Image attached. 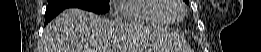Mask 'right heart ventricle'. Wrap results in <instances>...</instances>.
<instances>
[{
    "label": "right heart ventricle",
    "mask_w": 261,
    "mask_h": 52,
    "mask_svg": "<svg viewBox=\"0 0 261 52\" xmlns=\"http://www.w3.org/2000/svg\"><path fill=\"white\" fill-rule=\"evenodd\" d=\"M165 0H128L119 8L122 21L139 24H170L164 16Z\"/></svg>",
    "instance_id": "obj_1"
}]
</instances>
